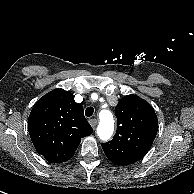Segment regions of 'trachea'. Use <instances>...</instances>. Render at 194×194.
Here are the masks:
<instances>
[{"label":"trachea","instance_id":"3493384b","mask_svg":"<svg viewBox=\"0 0 194 194\" xmlns=\"http://www.w3.org/2000/svg\"><path fill=\"white\" fill-rule=\"evenodd\" d=\"M93 113H94V108H93V107H88V108H86V110H85V115H86L87 117H91V116L93 115Z\"/></svg>","mask_w":194,"mask_h":194}]
</instances>
